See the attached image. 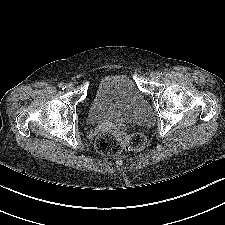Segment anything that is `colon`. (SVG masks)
Here are the masks:
<instances>
[{"mask_svg":"<svg viewBox=\"0 0 225 225\" xmlns=\"http://www.w3.org/2000/svg\"><path fill=\"white\" fill-rule=\"evenodd\" d=\"M147 145L146 136L136 132L126 134L118 130L101 133L95 141L97 151L103 155H116L125 150H141Z\"/></svg>","mask_w":225,"mask_h":225,"instance_id":"obj_1","label":"colon"}]
</instances>
